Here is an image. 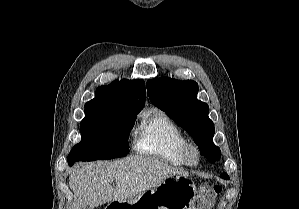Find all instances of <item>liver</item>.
Masks as SVG:
<instances>
[{"instance_id": "1", "label": "liver", "mask_w": 299, "mask_h": 209, "mask_svg": "<svg viewBox=\"0 0 299 209\" xmlns=\"http://www.w3.org/2000/svg\"><path fill=\"white\" fill-rule=\"evenodd\" d=\"M176 175L188 173L156 158L139 155L115 162L89 163L70 174L69 185L74 194L71 209L130 200ZM114 180L115 188L111 185Z\"/></svg>"}]
</instances>
